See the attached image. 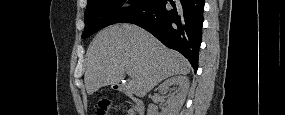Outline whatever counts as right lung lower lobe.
Wrapping results in <instances>:
<instances>
[{
    "label": "right lung lower lobe",
    "mask_w": 285,
    "mask_h": 115,
    "mask_svg": "<svg viewBox=\"0 0 285 115\" xmlns=\"http://www.w3.org/2000/svg\"><path fill=\"white\" fill-rule=\"evenodd\" d=\"M204 0H155L123 22L136 24L184 55L194 71L202 41Z\"/></svg>",
    "instance_id": "98d812e1"
}]
</instances>
